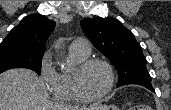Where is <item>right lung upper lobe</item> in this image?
I'll use <instances>...</instances> for the list:
<instances>
[{"label":"right lung upper lobe","mask_w":171,"mask_h":110,"mask_svg":"<svg viewBox=\"0 0 171 110\" xmlns=\"http://www.w3.org/2000/svg\"><path fill=\"white\" fill-rule=\"evenodd\" d=\"M54 27L55 22L46 16H27L10 31L1 46L13 45L33 53L44 54L45 43Z\"/></svg>","instance_id":"cb5924a9"}]
</instances>
